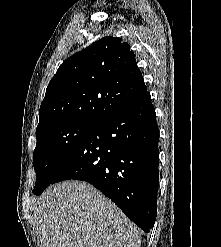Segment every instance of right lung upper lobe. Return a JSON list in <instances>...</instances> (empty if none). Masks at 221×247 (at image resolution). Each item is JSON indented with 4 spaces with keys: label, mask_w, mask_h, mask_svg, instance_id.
<instances>
[{
    "label": "right lung upper lobe",
    "mask_w": 221,
    "mask_h": 247,
    "mask_svg": "<svg viewBox=\"0 0 221 247\" xmlns=\"http://www.w3.org/2000/svg\"><path fill=\"white\" fill-rule=\"evenodd\" d=\"M146 91L130 45L104 37L60 65L41 103L36 134L71 122L98 124Z\"/></svg>",
    "instance_id": "right-lung-upper-lobe-1"
}]
</instances>
